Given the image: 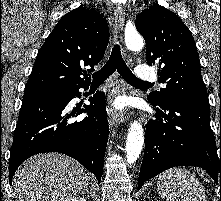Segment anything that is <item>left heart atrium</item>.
I'll return each mask as SVG.
<instances>
[{
    "label": "left heart atrium",
    "instance_id": "1",
    "mask_svg": "<svg viewBox=\"0 0 221 201\" xmlns=\"http://www.w3.org/2000/svg\"><path fill=\"white\" fill-rule=\"evenodd\" d=\"M114 105H115V107H117V108L122 107L123 101H122L121 99H117V100L114 102Z\"/></svg>",
    "mask_w": 221,
    "mask_h": 201
}]
</instances>
